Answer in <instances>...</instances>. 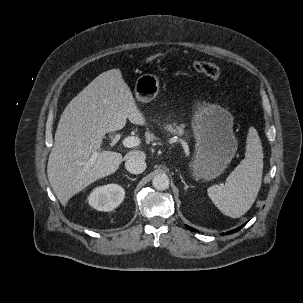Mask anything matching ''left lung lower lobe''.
Listing matches in <instances>:
<instances>
[{
	"label": "left lung lower lobe",
	"mask_w": 303,
	"mask_h": 303,
	"mask_svg": "<svg viewBox=\"0 0 303 303\" xmlns=\"http://www.w3.org/2000/svg\"><path fill=\"white\" fill-rule=\"evenodd\" d=\"M244 225H245V224H243L242 226H240V227H238V228H236V229H234V230H231V231L227 232L226 234L237 232V231H239ZM186 227H187V229L196 232V230H195L194 228H192V227H190V226H187V225H186ZM223 235H224V233H223Z\"/></svg>",
	"instance_id": "left-lung-lower-lobe-1"
}]
</instances>
